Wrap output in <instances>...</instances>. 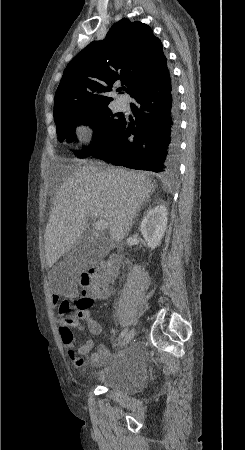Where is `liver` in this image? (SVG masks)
Wrapping results in <instances>:
<instances>
[{"label": "liver", "mask_w": 245, "mask_h": 450, "mask_svg": "<svg viewBox=\"0 0 245 450\" xmlns=\"http://www.w3.org/2000/svg\"><path fill=\"white\" fill-rule=\"evenodd\" d=\"M156 188L143 174L123 168L83 166L57 190L44 234L47 265L52 267L81 240L88 219L109 223L110 242H121L141 206Z\"/></svg>", "instance_id": "obj_1"}]
</instances>
